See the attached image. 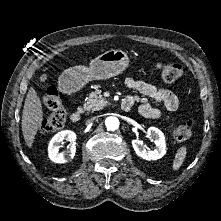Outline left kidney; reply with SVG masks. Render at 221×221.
<instances>
[{
  "mask_svg": "<svg viewBox=\"0 0 221 221\" xmlns=\"http://www.w3.org/2000/svg\"><path fill=\"white\" fill-rule=\"evenodd\" d=\"M148 136L154 139L156 148L154 150H146L142 140H132V146L136 154L148 161L158 160L166 153L165 136L161 130L156 127H149L147 130Z\"/></svg>",
  "mask_w": 221,
  "mask_h": 221,
  "instance_id": "5707ae66",
  "label": "left kidney"
}]
</instances>
